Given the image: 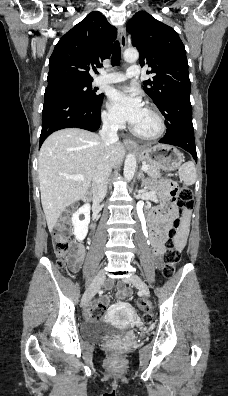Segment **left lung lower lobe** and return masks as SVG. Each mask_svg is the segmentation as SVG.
Here are the masks:
<instances>
[{
	"label": "left lung lower lobe",
	"mask_w": 228,
	"mask_h": 396,
	"mask_svg": "<svg viewBox=\"0 0 228 396\" xmlns=\"http://www.w3.org/2000/svg\"><path fill=\"white\" fill-rule=\"evenodd\" d=\"M177 100L182 103L181 111L179 112L174 111ZM159 110L164 115L167 126L166 134L159 142L179 146L188 151L194 160L197 161L190 95L173 97Z\"/></svg>",
	"instance_id": "obj_1"
}]
</instances>
